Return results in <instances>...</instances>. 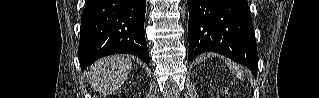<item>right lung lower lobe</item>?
<instances>
[{
	"mask_svg": "<svg viewBox=\"0 0 319 98\" xmlns=\"http://www.w3.org/2000/svg\"><path fill=\"white\" fill-rule=\"evenodd\" d=\"M146 0H87L81 17V68L112 54H135L149 64L144 32Z\"/></svg>",
	"mask_w": 319,
	"mask_h": 98,
	"instance_id": "right-lung-lower-lobe-1",
	"label": "right lung lower lobe"
}]
</instances>
